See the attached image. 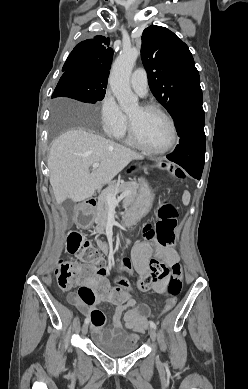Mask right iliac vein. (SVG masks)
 I'll list each match as a JSON object with an SVG mask.
<instances>
[{"label": "right iliac vein", "mask_w": 248, "mask_h": 389, "mask_svg": "<svg viewBox=\"0 0 248 389\" xmlns=\"http://www.w3.org/2000/svg\"><path fill=\"white\" fill-rule=\"evenodd\" d=\"M87 331H88V324L85 323V324L83 325V327H82V334L85 335V334L87 333Z\"/></svg>", "instance_id": "obj_1"}]
</instances>
